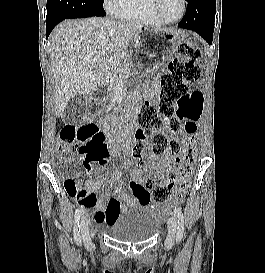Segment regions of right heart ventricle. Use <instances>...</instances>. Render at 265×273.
I'll use <instances>...</instances> for the list:
<instances>
[{
  "label": "right heart ventricle",
  "mask_w": 265,
  "mask_h": 273,
  "mask_svg": "<svg viewBox=\"0 0 265 273\" xmlns=\"http://www.w3.org/2000/svg\"><path fill=\"white\" fill-rule=\"evenodd\" d=\"M117 17L143 25L159 27L161 23L151 9V0H125Z\"/></svg>",
  "instance_id": "1"
}]
</instances>
